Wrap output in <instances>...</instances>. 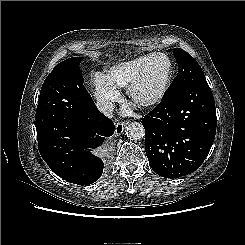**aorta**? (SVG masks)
Wrapping results in <instances>:
<instances>
[{
    "label": "aorta",
    "instance_id": "obj_1",
    "mask_svg": "<svg viewBox=\"0 0 245 245\" xmlns=\"http://www.w3.org/2000/svg\"><path fill=\"white\" fill-rule=\"evenodd\" d=\"M126 135L130 140H140L145 135L144 127L139 122H131L126 127Z\"/></svg>",
    "mask_w": 245,
    "mask_h": 245
}]
</instances>
